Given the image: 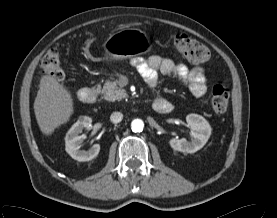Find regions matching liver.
Masks as SVG:
<instances>
[{
    "label": "liver",
    "instance_id": "1",
    "mask_svg": "<svg viewBox=\"0 0 277 218\" xmlns=\"http://www.w3.org/2000/svg\"><path fill=\"white\" fill-rule=\"evenodd\" d=\"M34 112L41 132L50 135L73 114L72 96L55 78L44 75L34 101Z\"/></svg>",
    "mask_w": 277,
    "mask_h": 218
}]
</instances>
